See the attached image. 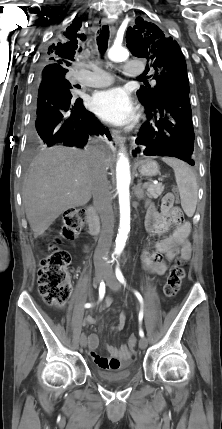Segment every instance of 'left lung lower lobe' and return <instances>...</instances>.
I'll return each mask as SVG.
<instances>
[{"instance_id": "0a47b994", "label": "left lung lower lobe", "mask_w": 222, "mask_h": 429, "mask_svg": "<svg viewBox=\"0 0 222 429\" xmlns=\"http://www.w3.org/2000/svg\"><path fill=\"white\" fill-rule=\"evenodd\" d=\"M142 103L147 120L139 129L133 155L176 157L193 166L195 136L189 92L167 87L157 103Z\"/></svg>"}]
</instances>
